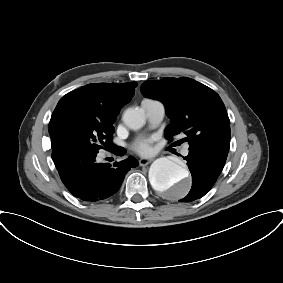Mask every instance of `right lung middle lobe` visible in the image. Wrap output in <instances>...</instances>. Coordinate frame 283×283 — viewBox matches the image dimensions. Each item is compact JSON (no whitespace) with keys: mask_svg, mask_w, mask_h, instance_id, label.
<instances>
[{"mask_svg":"<svg viewBox=\"0 0 283 283\" xmlns=\"http://www.w3.org/2000/svg\"><path fill=\"white\" fill-rule=\"evenodd\" d=\"M113 132V126L102 124L81 109L64 108L49 123L52 159L55 163H62L85 150L113 149Z\"/></svg>","mask_w":283,"mask_h":283,"instance_id":"right-lung-middle-lobe-1","label":"right lung middle lobe"}]
</instances>
